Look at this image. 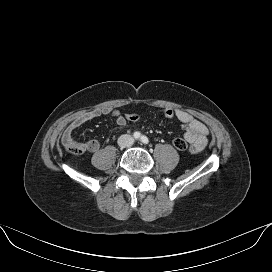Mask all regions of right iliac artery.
Listing matches in <instances>:
<instances>
[{"mask_svg":"<svg viewBox=\"0 0 272 272\" xmlns=\"http://www.w3.org/2000/svg\"><path fill=\"white\" fill-rule=\"evenodd\" d=\"M134 138H136V139L140 138V133L139 132H135L134 133Z\"/></svg>","mask_w":272,"mask_h":272,"instance_id":"obj_1","label":"right iliac artery"}]
</instances>
